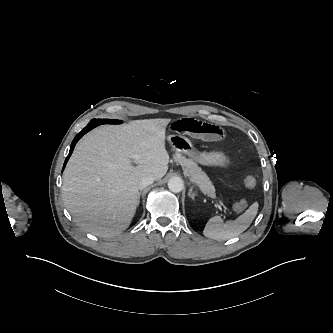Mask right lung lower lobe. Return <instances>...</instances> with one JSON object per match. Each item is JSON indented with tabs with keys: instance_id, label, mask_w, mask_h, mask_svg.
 Instances as JSON below:
<instances>
[{
	"instance_id": "1",
	"label": "right lung lower lobe",
	"mask_w": 333,
	"mask_h": 333,
	"mask_svg": "<svg viewBox=\"0 0 333 333\" xmlns=\"http://www.w3.org/2000/svg\"><path fill=\"white\" fill-rule=\"evenodd\" d=\"M100 124H103V120L101 119H93L90 121V123L88 124V126H86L81 132H79L76 137L74 138L73 142L71 143V147H70V151H69V154L64 162V166L63 168L65 167L74 147H75V144L77 143V141L84 135L86 134L88 131H90L91 129L95 128L96 126H99Z\"/></svg>"
}]
</instances>
